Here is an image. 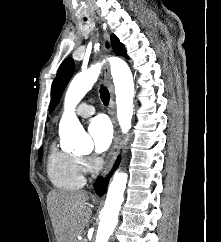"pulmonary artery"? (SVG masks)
Here are the masks:
<instances>
[{
    "instance_id": "obj_1",
    "label": "pulmonary artery",
    "mask_w": 221,
    "mask_h": 242,
    "mask_svg": "<svg viewBox=\"0 0 221 242\" xmlns=\"http://www.w3.org/2000/svg\"><path fill=\"white\" fill-rule=\"evenodd\" d=\"M95 108L92 104L88 103L87 101H83L78 105L76 108V114L81 117H88L94 114Z\"/></svg>"
}]
</instances>
